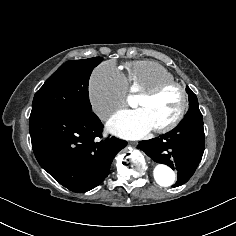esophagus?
I'll use <instances>...</instances> for the list:
<instances>
[{"label":"esophagus","instance_id":"34e87169","mask_svg":"<svg viewBox=\"0 0 236 236\" xmlns=\"http://www.w3.org/2000/svg\"><path fill=\"white\" fill-rule=\"evenodd\" d=\"M130 144L131 145H137V142L136 141H131Z\"/></svg>","mask_w":236,"mask_h":236}]
</instances>
